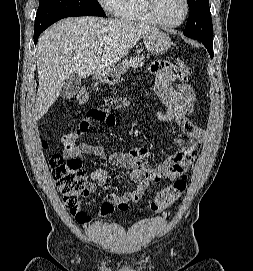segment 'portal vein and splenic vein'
<instances>
[{"instance_id": "18ae733b", "label": "portal vein and splenic vein", "mask_w": 253, "mask_h": 271, "mask_svg": "<svg viewBox=\"0 0 253 271\" xmlns=\"http://www.w3.org/2000/svg\"><path fill=\"white\" fill-rule=\"evenodd\" d=\"M103 52V49L102 48H99L98 49V53H102Z\"/></svg>"}]
</instances>
